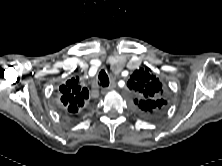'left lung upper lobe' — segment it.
<instances>
[{"label": "left lung upper lobe", "mask_w": 222, "mask_h": 166, "mask_svg": "<svg viewBox=\"0 0 222 166\" xmlns=\"http://www.w3.org/2000/svg\"><path fill=\"white\" fill-rule=\"evenodd\" d=\"M127 86L136 92L134 103L146 113H154L166 102L160 98L162 84L149 68L136 70L128 80Z\"/></svg>", "instance_id": "left-lung-upper-lobe-1"}]
</instances>
